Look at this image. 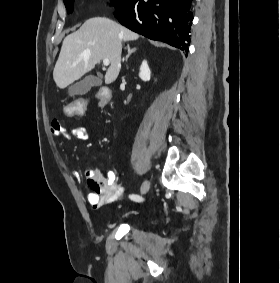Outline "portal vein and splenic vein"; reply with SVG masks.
<instances>
[{"instance_id": "1", "label": "portal vein and splenic vein", "mask_w": 280, "mask_h": 283, "mask_svg": "<svg viewBox=\"0 0 280 283\" xmlns=\"http://www.w3.org/2000/svg\"><path fill=\"white\" fill-rule=\"evenodd\" d=\"M103 64L105 66H108L110 64V61L108 59H103Z\"/></svg>"}]
</instances>
